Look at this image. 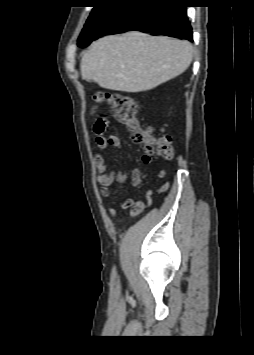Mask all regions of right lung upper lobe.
<instances>
[{"mask_svg":"<svg viewBox=\"0 0 254 355\" xmlns=\"http://www.w3.org/2000/svg\"><path fill=\"white\" fill-rule=\"evenodd\" d=\"M96 1L98 3L114 2V3L122 4V3L132 2V1H135V0H96Z\"/></svg>","mask_w":254,"mask_h":355,"instance_id":"1","label":"right lung upper lobe"}]
</instances>
